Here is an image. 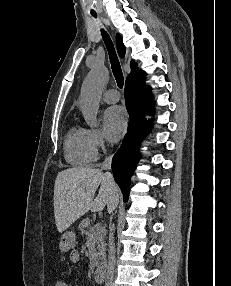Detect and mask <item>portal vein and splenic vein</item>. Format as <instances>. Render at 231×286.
Returning a JSON list of instances; mask_svg holds the SVG:
<instances>
[{
  "label": "portal vein and splenic vein",
  "mask_w": 231,
  "mask_h": 286,
  "mask_svg": "<svg viewBox=\"0 0 231 286\" xmlns=\"http://www.w3.org/2000/svg\"><path fill=\"white\" fill-rule=\"evenodd\" d=\"M100 226H101V224H100V223H97V224H96V227H100Z\"/></svg>",
  "instance_id": "1"
}]
</instances>
